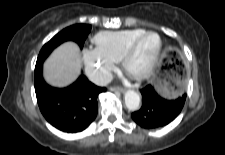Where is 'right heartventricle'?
I'll list each match as a JSON object with an SVG mask.
<instances>
[{
  "label": "right heart ventricle",
  "mask_w": 225,
  "mask_h": 155,
  "mask_svg": "<svg viewBox=\"0 0 225 155\" xmlns=\"http://www.w3.org/2000/svg\"><path fill=\"white\" fill-rule=\"evenodd\" d=\"M143 32V29L100 32L94 37L95 49L104 57L118 62L127 46Z\"/></svg>",
  "instance_id": "1"
}]
</instances>
